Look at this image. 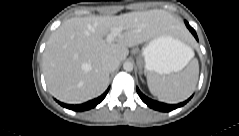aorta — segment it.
<instances>
[{
    "mask_svg": "<svg viewBox=\"0 0 239 136\" xmlns=\"http://www.w3.org/2000/svg\"><path fill=\"white\" fill-rule=\"evenodd\" d=\"M123 69H124L125 71H128V72L132 71V70H133V63L130 62V61L124 62V64H123Z\"/></svg>",
    "mask_w": 239,
    "mask_h": 136,
    "instance_id": "obj_1",
    "label": "aorta"
}]
</instances>
